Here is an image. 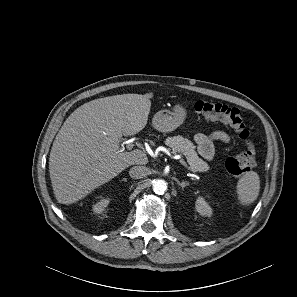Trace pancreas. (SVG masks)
<instances>
[{"mask_svg": "<svg viewBox=\"0 0 297 297\" xmlns=\"http://www.w3.org/2000/svg\"><path fill=\"white\" fill-rule=\"evenodd\" d=\"M165 144L170 147L174 153H181L186 157L191 171L205 172L209 170V165L199 158L195 151V146L189 139L183 138L180 135L168 137L165 140Z\"/></svg>", "mask_w": 297, "mask_h": 297, "instance_id": "obj_1", "label": "pancreas"}]
</instances>
